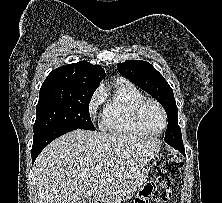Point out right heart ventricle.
I'll return each instance as SVG.
<instances>
[{"instance_id": "1", "label": "right heart ventricle", "mask_w": 222, "mask_h": 203, "mask_svg": "<svg viewBox=\"0 0 222 203\" xmlns=\"http://www.w3.org/2000/svg\"><path fill=\"white\" fill-rule=\"evenodd\" d=\"M102 128L121 135L144 136L147 133L136 123L134 109L144 95L130 82L119 79L111 92L104 91Z\"/></svg>"}]
</instances>
